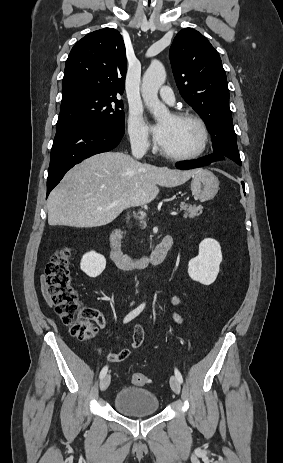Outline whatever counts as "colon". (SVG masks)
I'll return each instance as SVG.
<instances>
[{
  "label": "colon",
  "instance_id": "obj_1",
  "mask_svg": "<svg viewBox=\"0 0 283 463\" xmlns=\"http://www.w3.org/2000/svg\"><path fill=\"white\" fill-rule=\"evenodd\" d=\"M71 250L62 247L56 250L46 265V291L54 305L61 321L68 325L71 334L79 340L91 339L97 328L103 324L100 313L88 307H82L79 295L72 284L70 262ZM117 361L116 355L111 356ZM130 380L134 385L144 386L149 383L148 377L139 372H133Z\"/></svg>",
  "mask_w": 283,
  "mask_h": 463
}]
</instances>
